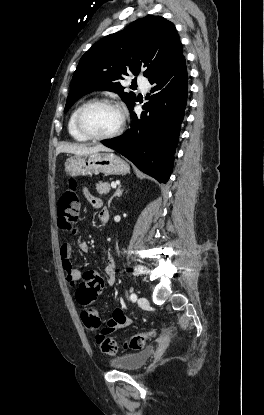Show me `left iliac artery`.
<instances>
[{
  "mask_svg": "<svg viewBox=\"0 0 264 415\" xmlns=\"http://www.w3.org/2000/svg\"><path fill=\"white\" fill-rule=\"evenodd\" d=\"M130 300H131L132 302H135V301L137 300V295H136L135 293H132V294L130 295Z\"/></svg>",
  "mask_w": 264,
  "mask_h": 415,
  "instance_id": "1",
  "label": "left iliac artery"
}]
</instances>
